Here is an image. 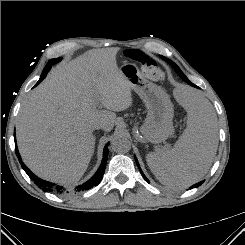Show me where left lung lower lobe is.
<instances>
[{
	"mask_svg": "<svg viewBox=\"0 0 245 245\" xmlns=\"http://www.w3.org/2000/svg\"><path fill=\"white\" fill-rule=\"evenodd\" d=\"M181 78H182L185 82H187L189 85L194 86V87H197L196 85H194L193 83H191L185 75H182ZM135 160H136V163H137V165H138V168H139V170H140V172H141L143 178L149 183V180H148V179L146 178V176L143 174V172H142V170H141V168H140V166H139V163H138V161H137L136 158H135ZM203 182H204V181H201V182H199V183H196V184H194L192 187H195V188H196V187L200 186Z\"/></svg>",
	"mask_w": 245,
	"mask_h": 245,
	"instance_id": "left-lung-lower-lobe-1",
	"label": "left lung lower lobe"
}]
</instances>
